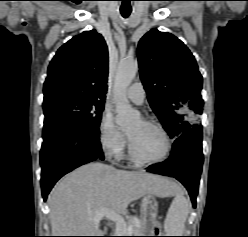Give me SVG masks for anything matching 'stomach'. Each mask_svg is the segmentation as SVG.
<instances>
[{"mask_svg":"<svg viewBox=\"0 0 248 237\" xmlns=\"http://www.w3.org/2000/svg\"><path fill=\"white\" fill-rule=\"evenodd\" d=\"M173 193L171 188L165 190L158 197H166ZM157 195H145L141 200V219L144 223L145 233L153 229L155 219L158 213V202L156 200Z\"/></svg>","mask_w":248,"mask_h":237,"instance_id":"stomach-1","label":"stomach"}]
</instances>
